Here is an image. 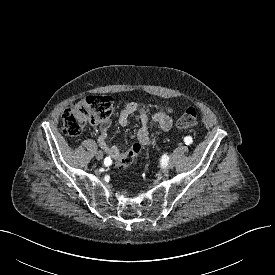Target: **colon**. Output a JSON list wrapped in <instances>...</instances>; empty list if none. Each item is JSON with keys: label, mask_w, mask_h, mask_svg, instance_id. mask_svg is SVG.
I'll return each mask as SVG.
<instances>
[{"label": "colon", "mask_w": 275, "mask_h": 275, "mask_svg": "<svg viewBox=\"0 0 275 275\" xmlns=\"http://www.w3.org/2000/svg\"><path fill=\"white\" fill-rule=\"evenodd\" d=\"M113 110V102L107 96H89L78 101L62 114L63 130L68 136H78L89 123L105 124L109 121ZM199 123V112L196 108H188L178 119L177 126L186 129L197 126ZM140 146L135 145L130 155L117 162V167L128 166L140 151Z\"/></svg>", "instance_id": "1"}]
</instances>
